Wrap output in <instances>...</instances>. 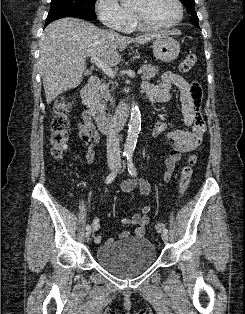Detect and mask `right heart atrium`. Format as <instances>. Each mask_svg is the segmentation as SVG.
I'll return each mask as SVG.
<instances>
[{"mask_svg":"<svg viewBox=\"0 0 245 314\" xmlns=\"http://www.w3.org/2000/svg\"><path fill=\"white\" fill-rule=\"evenodd\" d=\"M96 12L105 26L117 31L128 29L131 23L130 10L117 0H97Z\"/></svg>","mask_w":245,"mask_h":314,"instance_id":"d8ad5b80","label":"right heart atrium"}]
</instances>
